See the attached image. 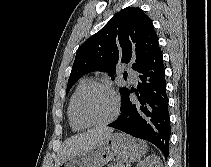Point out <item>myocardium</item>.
Listing matches in <instances>:
<instances>
[{"mask_svg":"<svg viewBox=\"0 0 211 167\" xmlns=\"http://www.w3.org/2000/svg\"><path fill=\"white\" fill-rule=\"evenodd\" d=\"M94 87H99L102 89H105L106 91H108L110 93V95L113 98V102H114V110L112 115L104 120V121H100V122H90V121H86L84 119H82L79 114H78V102L81 98V96L89 89L94 88ZM120 111V100H119V96L117 95V93L115 92V90L106 82H102V81H89L88 83H86L75 95L74 100H73V105H72V115L74 120L84 126V127H101V126H106L110 123H112L118 116Z\"/></svg>","mask_w":211,"mask_h":167,"instance_id":"myocardium-1","label":"myocardium"}]
</instances>
